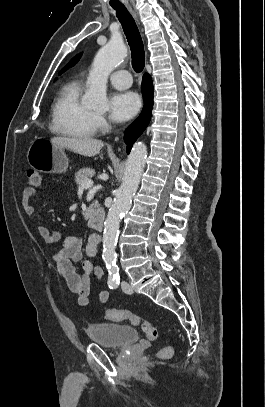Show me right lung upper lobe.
Returning a JSON list of instances; mask_svg holds the SVG:
<instances>
[{"instance_id":"1","label":"right lung upper lobe","mask_w":265,"mask_h":407,"mask_svg":"<svg viewBox=\"0 0 265 407\" xmlns=\"http://www.w3.org/2000/svg\"><path fill=\"white\" fill-rule=\"evenodd\" d=\"M80 57H81V54H80V55H77L76 57H74V58L69 62V64L66 65V66L59 72V75H60L61 73H63L64 71H66L69 67H72L73 65H75V64L78 62V60L80 59Z\"/></svg>"}]
</instances>
